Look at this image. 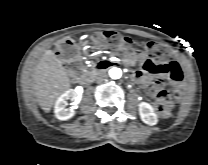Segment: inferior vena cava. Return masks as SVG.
I'll use <instances>...</instances> for the list:
<instances>
[{"mask_svg":"<svg viewBox=\"0 0 208 165\" xmlns=\"http://www.w3.org/2000/svg\"><path fill=\"white\" fill-rule=\"evenodd\" d=\"M106 77H107L106 73L100 72L95 76V80L101 82L106 80Z\"/></svg>","mask_w":208,"mask_h":165,"instance_id":"obj_1","label":"inferior vena cava"}]
</instances>
